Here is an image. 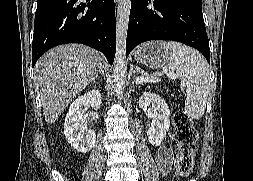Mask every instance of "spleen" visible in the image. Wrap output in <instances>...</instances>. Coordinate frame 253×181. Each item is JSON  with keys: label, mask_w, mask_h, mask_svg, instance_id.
I'll use <instances>...</instances> for the list:
<instances>
[{"label": "spleen", "mask_w": 253, "mask_h": 181, "mask_svg": "<svg viewBox=\"0 0 253 181\" xmlns=\"http://www.w3.org/2000/svg\"><path fill=\"white\" fill-rule=\"evenodd\" d=\"M164 64L160 67L170 77L179 78L185 87V111L188 117L204 115L209 92V66L195 49L179 42H163Z\"/></svg>", "instance_id": "3e777b00"}]
</instances>
